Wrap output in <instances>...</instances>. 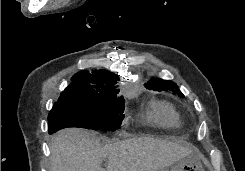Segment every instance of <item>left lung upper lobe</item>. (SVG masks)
I'll list each match as a JSON object with an SVG mask.
<instances>
[{
	"instance_id": "obj_1",
	"label": "left lung upper lobe",
	"mask_w": 245,
	"mask_h": 171,
	"mask_svg": "<svg viewBox=\"0 0 245 171\" xmlns=\"http://www.w3.org/2000/svg\"><path fill=\"white\" fill-rule=\"evenodd\" d=\"M145 86L149 90H155V91H167L171 90L173 92H176L178 96L183 97V94L178 90V86L173 81H167L162 79H150Z\"/></svg>"
}]
</instances>
